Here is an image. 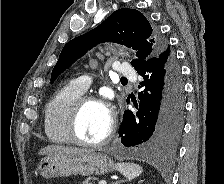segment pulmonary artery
Segmentation results:
<instances>
[{"label":"pulmonary artery","instance_id":"e3ab8cb5","mask_svg":"<svg viewBox=\"0 0 224 184\" xmlns=\"http://www.w3.org/2000/svg\"><path fill=\"white\" fill-rule=\"evenodd\" d=\"M116 70L117 73L123 77H132L135 75L134 69L128 63H122L116 68ZM91 83V79L86 75L79 76L74 80V86L82 92H85Z\"/></svg>","mask_w":224,"mask_h":184}]
</instances>
